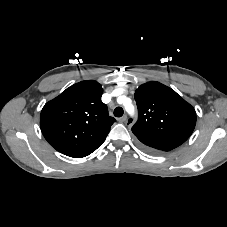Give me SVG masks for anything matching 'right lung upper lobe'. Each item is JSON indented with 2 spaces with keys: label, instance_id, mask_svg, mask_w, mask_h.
<instances>
[{
  "label": "right lung upper lobe",
  "instance_id": "obj_1",
  "mask_svg": "<svg viewBox=\"0 0 227 227\" xmlns=\"http://www.w3.org/2000/svg\"><path fill=\"white\" fill-rule=\"evenodd\" d=\"M102 86L94 80L76 83L47 102L40 116L41 131L57 151L82 158L100 147L116 121L101 101Z\"/></svg>",
  "mask_w": 227,
  "mask_h": 227
}]
</instances>
